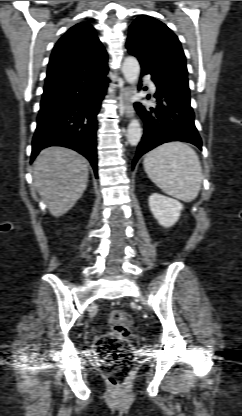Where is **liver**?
<instances>
[{"label":"liver","instance_id":"liver-1","mask_svg":"<svg viewBox=\"0 0 242 416\" xmlns=\"http://www.w3.org/2000/svg\"><path fill=\"white\" fill-rule=\"evenodd\" d=\"M88 181V161L74 150L49 147L34 161L33 185L51 215L67 213L83 195Z\"/></svg>","mask_w":242,"mask_h":416}]
</instances>
